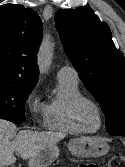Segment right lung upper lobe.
<instances>
[{
	"instance_id": "cb5924a9",
	"label": "right lung upper lobe",
	"mask_w": 125,
	"mask_h": 167,
	"mask_svg": "<svg viewBox=\"0 0 125 167\" xmlns=\"http://www.w3.org/2000/svg\"><path fill=\"white\" fill-rule=\"evenodd\" d=\"M42 22L32 9L0 6V84L34 88L38 81L37 51Z\"/></svg>"
}]
</instances>
